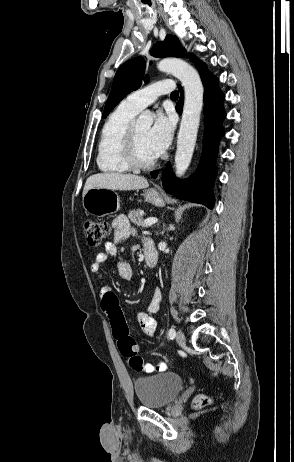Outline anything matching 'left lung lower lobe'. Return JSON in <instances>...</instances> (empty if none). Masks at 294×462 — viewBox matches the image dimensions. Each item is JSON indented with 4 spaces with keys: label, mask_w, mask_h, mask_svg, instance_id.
<instances>
[{
    "label": "left lung lower lobe",
    "mask_w": 294,
    "mask_h": 462,
    "mask_svg": "<svg viewBox=\"0 0 294 462\" xmlns=\"http://www.w3.org/2000/svg\"><path fill=\"white\" fill-rule=\"evenodd\" d=\"M204 84V153L198 171L186 181L177 179L172 173L170 164L167 165L163 172V187L166 191L174 196L206 205L212 208L214 198L212 194L213 179L215 177L214 161L218 151L220 137L224 134L222 129V120L225 117V111L222 103L224 100L223 93L219 90L218 79L210 73L204 64L197 66ZM180 90V99L177 103L176 110L181 114L183 106V90ZM157 172H152L156 177Z\"/></svg>",
    "instance_id": "obj_1"
}]
</instances>
